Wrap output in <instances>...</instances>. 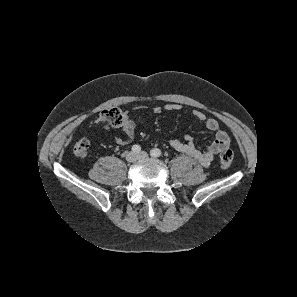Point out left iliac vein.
I'll return each instance as SVG.
<instances>
[{"mask_svg": "<svg viewBox=\"0 0 297 297\" xmlns=\"http://www.w3.org/2000/svg\"><path fill=\"white\" fill-rule=\"evenodd\" d=\"M146 157H148V153L145 152V151H142V152L137 154L138 159H142V158H146Z\"/></svg>", "mask_w": 297, "mask_h": 297, "instance_id": "left-iliac-vein-1", "label": "left iliac vein"}]
</instances>
